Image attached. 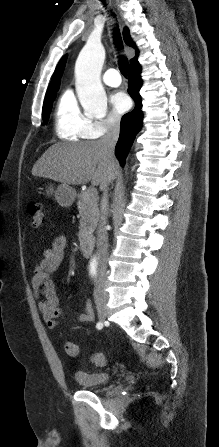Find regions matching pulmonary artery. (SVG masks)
Instances as JSON below:
<instances>
[{
	"label": "pulmonary artery",
	"instance_id": "e3ab8cb5",
	"mask_svg": "<svg viewBox=\"0 0 219 447\" xmlns=\"http://www.w3.org/2000/svg\"><path fill=\"white\" fill-rule=\"evenodd\" d=\"M103 82L110 87H118L121 82V76L116 69H108L103 75Z\"/></svg>",
	"mask_w": 219,
	"mask_h": 447
}]
</instances>
